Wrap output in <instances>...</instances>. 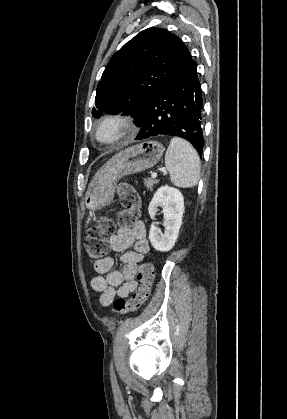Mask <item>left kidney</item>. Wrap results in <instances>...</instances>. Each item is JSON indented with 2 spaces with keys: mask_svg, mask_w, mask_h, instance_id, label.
<instances>
[{
  "mask_svg": "<svg viewBox=\"0 0 287 419\" xmlns=\"http://www.w3.org/2000/svg\"><path fill=\"white\" fill-rule=\"evenodd\" d=\"M158 207L162 208L165 231L164 233L158 231L152 222L149 231V240L154 249L167 252L173 248L182 224L184 213V198L182 193L174 187L167 185L161 186L154 194L148 207V212L152 220L155 218Z\"/></svg>",
  "mask_w": 287,
  "mask_h": 419,
  "instance_id": "obj_1",
  "label": "left kidney"
}]
</instances>
